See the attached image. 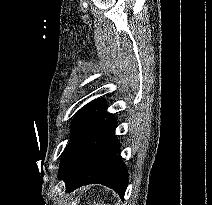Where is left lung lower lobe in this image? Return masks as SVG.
I'll return each mask as SVG.
<instances>
[{
	"mask_svg": "<svg viewBox=\"0 0 212 205\" xmlns=\"http://www.w3.org/2000/svg\"><path fill=\"white\" fill-rule=\"evenodd\" d=\"M106 107L105 100H98L75 131L59 173L67 192L100 183L124 197L128 172L120 156V142L114 137L116 119Z\"/></svg>",
	"mask_w": 212,
	"mask_h": 205,
	"instance_id": "1",
	"label": "left lung lower lobe"
}]
</instances>
